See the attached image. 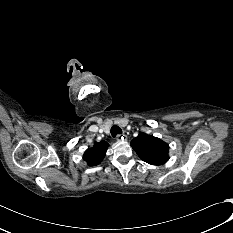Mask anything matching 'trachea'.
I'll use <instances>...</instances> for the list:
<instances>
[{
    "mask_svg": "<svg viewBox=\"0 0 233 233\" xmlns=\"http://www.w3.org/2000/svg\"><path fill=\"white\" fill-rule=\"evenodd\" d=\"M121 133H122V130H121L120 127H118L117 125L112 126V128H111V135L113 137H116V135L121 134Z\"/></svg>",
    "mask_w": 233,
    "mask_h": 233,
    "instance_id": "1",
    "label": "trachea"
}]
</instances>
